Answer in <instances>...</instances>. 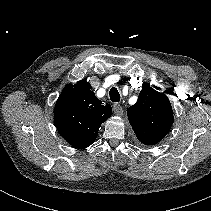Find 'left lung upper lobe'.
Masks as SVG:
<instances>
[{"label":"left lung upper lobe","instance_id":"left-lung-upper-lobe-1","mask_svg":"<svg viewBox=\"0 0 211 211\" xmlns=\"http://www.w3.org/2000/svg\"><path fill=\"white\" fill-rule=\"evenodd\" d=\"M129 122L138 138L145 145H155L170 131L173 110L167 96L145 84L136 104L127 110Z\"/></svg>","mask_w":211,"mask_h":211}]
</instances>
